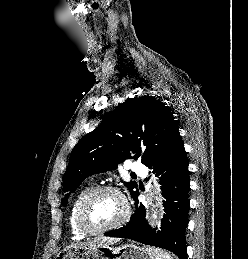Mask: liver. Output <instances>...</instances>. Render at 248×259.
Listing matches in <instances>:
<instances>
[{
	"label": "liver",
	"mask_w": 248,
	"mask_h": 259,
	"mask_svg": "<svg viewBox=\"0 0 248 259\" xmlns=\"http://www.w3.org/2000/svg\"><path fill=\"white\" fill-rule=\"evenodd\" d=\"M118 241H119V238L102 236V237H98L94 240H90L87 242L77 243V244H75V246L85 247V248H96V247H100V246L113 245V244L117 243Z\"/></svg>",
	"instance_id": "liver-1"
}]
</instances>
